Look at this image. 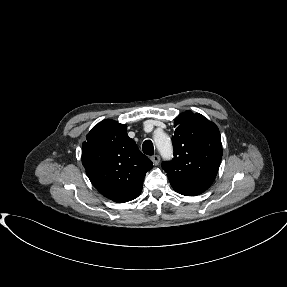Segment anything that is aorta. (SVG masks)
Listing matches in <instances>:
<instances>
[{
  "instance_id": "762f6f07",
  "label": "aorta",
  "mask_w": 287,
  "mask_h": 287,
  "mask_svg": "<svg viewBox=\"0 0 287 287\" xmlns=\"http://www.w3.org/2000/svg\"><path fill=\"white\" fill-rule=\"evenodd\" d=\"M154 142L158 151L164 159H170L173 154V148L170 137L163 131H157L154 134Z\"/></svg>"
}]
</instances>
